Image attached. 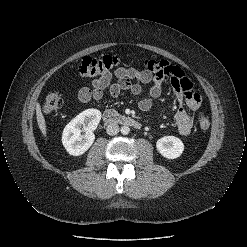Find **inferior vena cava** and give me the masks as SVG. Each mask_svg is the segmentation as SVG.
<instances>
[{"mask_svg": "<svg viewBox=\"0 0 247 247\" xmlns=\"http://www.w3.org/2000/svg\"><path fill=\"white\" fill-rule=\"evenodd\" d=\"M106 132L108 135H116L119 132V126L116 123H110L107 128Z\"/></svg>", "mask_w": 247, "mask_h": 247, "instance_id": "602c4592", "label": "inferior vena cava"}]
</instances>
